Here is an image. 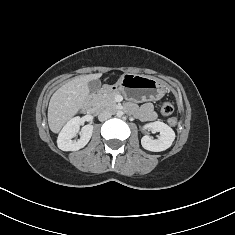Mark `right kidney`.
<instances>
[{
	"label": "right kidney",
	"mask_w": 235,
	"mask_h": 235,
	"mask_svg": "<svg viewBox=\"0 0 235 235\" xmlns=\"http://www.w3.org/2000/svg\"><path fill=\"white\" fill-rule=\"evenodd\" d=\"M80 124V117H74L67 122L57 139L59 149L63 151H77L86 146V144L91 139L93 126L85 125L84 127H82L80 131V139H78L77 141H73L72 138H74L79 132Z\"/></svg>",
	"instance_id": "right-kidney-1"
}]
</instances>
